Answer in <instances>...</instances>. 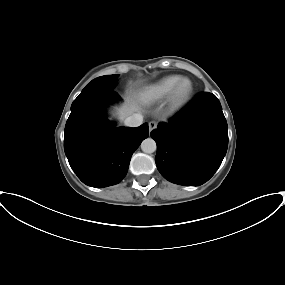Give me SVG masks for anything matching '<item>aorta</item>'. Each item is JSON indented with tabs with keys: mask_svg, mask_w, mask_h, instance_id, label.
Masks as SVG:
<instances>
[{
	"mask_svg": "<svg viewBox=\"0 0 285 285\" xmlns=\"http://www.w3.org/2000/svg\"><path fill=\"white\" fill-rule=\"evenodd\" d=\"M156 148V142L152 138H146L141 143V149L144 153H153Z\"/></svg>",
	"mask_w": 285,
	"mask_h": 285,
	"instance_id": "aorta-1",
	"label": "aorta"
}]
</instances>
